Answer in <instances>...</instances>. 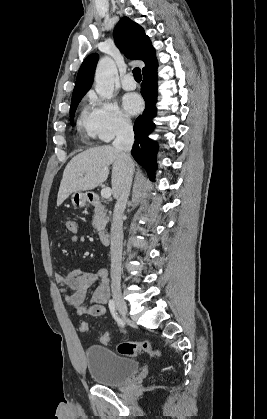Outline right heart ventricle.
Masks as SVG:
<instances>
[{"mask_svg": "<svg viewBox=\"0 0 267 419\" xmlns=\"http://www.w3.org/2000/svg\"><path fill=\"white\" fill-rule=\"evenodd\" d=\"M77 126L84 136L88 138L97 137L94 110L89 107H84L78 117Z\"/></svg>", "mask_w": 267, "mask_h": 419, "instance_id": "e07e8e85", "label": "right heart ventricle"}]
</instances>
